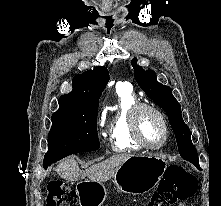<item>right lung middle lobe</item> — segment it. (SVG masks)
<instances>
[{
  "instance_id": "obj_1",
  "label": "right lung middle lobe",
  "mask_w": 221,
  "mask_h": 206,
  "mask_svg": "<svg viewBox=\"0 0 221 206\" xmlns=\"http://www.w3.org/2000/svg\"><path fill=\"white\" fill-rule=\"evenodd\" d=\"M48 134V152L43 165L52 164L70 154L95 151L100 148L97 134V107L67 112H55Z\"/></svg>"
}]
</instances>
